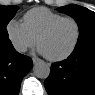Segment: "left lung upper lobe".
<instances>
[{"label":"left lung upper lobe","instance_id":"left-lung-upper-lobe-1","mask_svg":"<svg viewBox=\"0 0 95 95\" xmlns=\"http://www.w3.org/2000/svg\"><path fill=\"white\" fill-rule=\"evenodd\" d=\"M58 10L72 16L78 23L80 35L76 47L95 40V12L74 4Z\"/></svg>","mask_w":95,"mask_h":95}]
</instances>
